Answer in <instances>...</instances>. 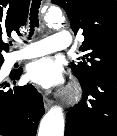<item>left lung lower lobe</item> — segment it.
<instances>
[{
  "label": "left lung lower lobe",
  "mask_w": 117,
  "mask_h": 136,
  "mask_svg": "<svg viewBox=\"0 0 117 136\" xmlns=\"http://www.w3.org/2000/svg\"><path fill=\"white\" fill-rule=\"evenodd\" d=\"M81 87L82 100L66 115L65 136H117V70Z\"/></svg>",
  "instance_id": "0a47b994"
}]
</instances>
